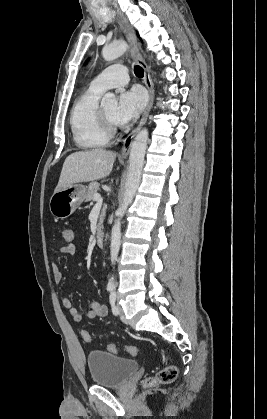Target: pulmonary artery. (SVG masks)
<instances>
[{"label":"pulmonary artery","instance_id":"pulmonary-artery-1","mask_svg":"<svg viewBox=\"0 0 267 419\" xmlns=\"http://www.w3.org/2000/svg\"><path fill=\"white\" fill-rule=\"evenodd\" d=\"M129 81L128 70L124 65L115 64L97 75L90 83V87L104 92L108 89L125 85Z\"/></svg>","mask_w":267,"mask_h":419}]
</instances>
